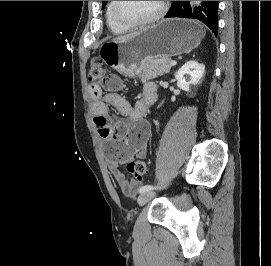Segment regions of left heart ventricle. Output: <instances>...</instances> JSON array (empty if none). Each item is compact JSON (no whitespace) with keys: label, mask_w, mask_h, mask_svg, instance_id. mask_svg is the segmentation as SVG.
<instances>
[{"label":"left heart ventricle","mask_w":271,"mask_h":266,"mask_svg":"<svg viewBox=\"0 0 271 266\" xmlns=\"http://www.w3.org/2000/svg\"><path fill=\"white\" fill-rule=\"evenodd\" d=\"M159 1H119V14L130 21H141L156 13Z\"/></svg>","instance_id":"obj_1"}]
</instances>
